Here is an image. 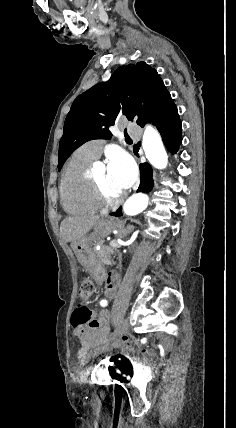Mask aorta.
I'll return each mask as SVG.
<instances>
[{"instance_id": "obj_1", "label": "aorta", "mask_w": 236, "mask_h": 428, "mask_svg": "<svg viewBox=\"0 0 236 428\" xmlns=\"http://www.w3.org/2000/svg\"><path fill=\"white\" fill-rule=\"evenodd\" d=\"M142 146L146 158L154 168H166L168 163L166 150L160 134L151 125H147L145 128ZM148 203L149 197L146 194L136 193L125 202L123 211L126 215H137L147 208Z\"/></svg>"}]
</instances>
